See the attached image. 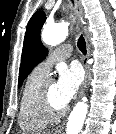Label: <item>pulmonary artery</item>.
I'll use <instances>...</instances> for the list:
<instances>
[{
  "label": "pulmonary artery",
  "instance_id": "obj_1",
  "mask_svg": "<svg viewBox=\"0 0 116 134\" xmlns=\"http://www.w3.org/2000/svg\"><path fill=\"white\" fill-rule=\"evenodd\" d=\"M72 53V48L70 45H63L60 46L59 48H57L56 50H54L51 55L42 63H40L37 66V69L44 73V74H48L50 68L52 67V65L55 62L61 61V60H65L68 57L71 56Z\"/></svg>",
  "mask_w": 116,
  "mask_h": 134
}]
</instances>
